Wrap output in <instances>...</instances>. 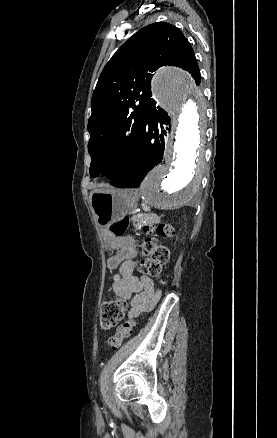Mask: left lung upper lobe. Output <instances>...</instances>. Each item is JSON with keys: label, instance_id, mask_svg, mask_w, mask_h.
Segmentation results:
<instances>
[{"label": "left lung upper lobe", "instance_id": "obj_1", "mask_svg": "<svg viewBox=\"0 0 277 438\" xmlns=\"http://www.w3.org/2000/svg\"><path fill=\"white\" fill-rule=\"evenodd\" d=\"M164 65L188 71L200 84L190 43L177 27L166 22L140 29L105 65L92 95L88 121L92 177L111 169L113 182L126 170L141 137L147 106L153 100L152 72Z\"/></svg>", "mask_w": 277, "mask_h": 438}]
</instances>
